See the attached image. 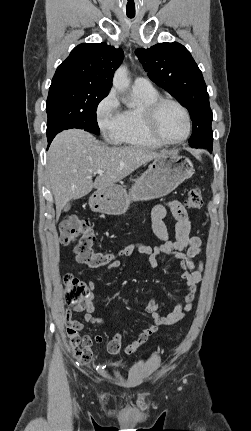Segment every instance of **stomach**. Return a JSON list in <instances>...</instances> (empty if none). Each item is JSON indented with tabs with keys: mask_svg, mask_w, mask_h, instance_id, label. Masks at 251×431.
<instances>
[{
	"mask_svg": "<svg viewBox=\"0 0 251 431\" xmlns=\"http://www.w3.org/2000/svg\"><path fill=\"white\" fill-rule=\"evenodd\" d=\"M194 169L189 159L175 152H168L154 159L148 169L135 180L129 194L120 185L97 190L89 199L90 208L107 215L124 214L132 201H147L168 195Z\"/></svg>",
	"mask_w": 251,
	"mask_h": 431,
	"instance_id": "0dacf381",
	"label": "stomach"
}]
</instances>
